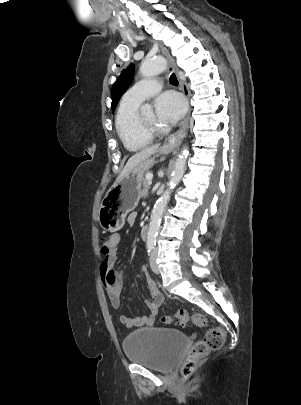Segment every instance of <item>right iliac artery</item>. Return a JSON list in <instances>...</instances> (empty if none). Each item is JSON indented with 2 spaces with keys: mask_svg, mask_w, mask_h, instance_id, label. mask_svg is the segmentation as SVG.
Instances as JSON below:
<instances>
[{
  "mask_svg": "<svg viewBox=\"0 0 301 405\" xmlns=\"http://www.w3.org/2000/svg\"><path fill=\"white\" fill-rule=\"evenodd\" d=\"M152 250H153V247L149 246V247L147 248L148 254H150V253L152 252Z\"/></svg>",
  "mask_w": 301,
  "mask_h": 405,
  "instance_id": "obj_1",
  "label": "right iliac artery"
}]
</instances>
